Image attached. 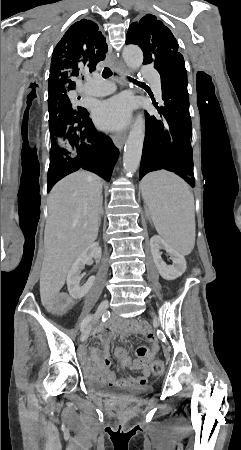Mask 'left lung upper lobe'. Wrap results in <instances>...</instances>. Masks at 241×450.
Instances as JSON below:
<instances>
[{
    "label": "left lung upper lobe",
    "instance_id": "left-lung-upper-lobe-1",
    "mask_svg": "<svg viewBox=\"0 0 241 450\" xmlns=\"http://www.w3.org/2000/svg\"><path fill=\"white\" fill-rule=\"evenodd\" d=\"M126 44L138 45L144 53L143 64L154 63L157 71L184 64L175 37L154 15L147 14L130 25Z\"/></svg>",
    "mask_w": 241,
    "mask_h": 450
}]
</instances>
